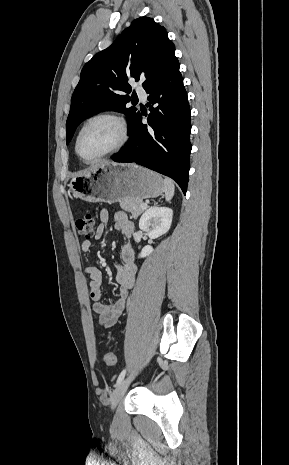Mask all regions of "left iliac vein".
Instances as JSON below:
<instances>
[{"label":"left iliac vein","mask_w":289,"mask_h":465,"mask_svg":"<svg viewBox=\"0 0 289 465\" xmlns=\"http://www.w3.org/2000/svg\"><path fill=\"white\" fill-rule=\"evenodd\" d=\"M135 372L131 373L128 377L122 380L119 385L115 388L111 395V409L114 410L118 403L123 398L129 384L131 383L132 379L134 378Z\"/></svg>","instance_id":"4c4485c4"}]
</instances>
